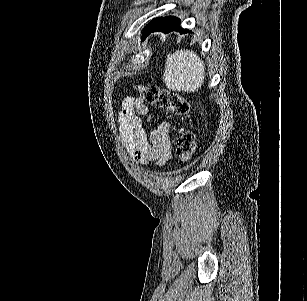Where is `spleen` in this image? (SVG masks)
Segmentation results:
<instances>
[{"label":"spleen","instance_id":"obj_1","mask_svg":"<svg viewBox=\"0 0 307 301\" xmlns=\"http://www.w3.org/2000/svg\"><path fill=\"white\" fill-rule=\"evenodd\" d=\"M205 76L204 62L193 50L180 48L173 54H167L162 78L169 90L197 92Z\"/></svg>","mask_w":307,"mask_h":301}]
</instances>
